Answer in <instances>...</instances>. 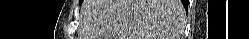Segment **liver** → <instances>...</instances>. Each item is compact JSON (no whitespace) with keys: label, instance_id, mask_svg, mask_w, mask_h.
<instances>
[{"label":"liver","instance_id":"obj_1","mask_svg":"<svg viewBox=\"0 0 249 39\" xmlns=\"http://www.w3.org/2000/svg\"><path fill=\"white\" fill-rule=\"evenodd\" d=\"M80 39H174L176 0H86Z\"/></svg>","mask_w":249,"mask_h":39}]
</instances>
